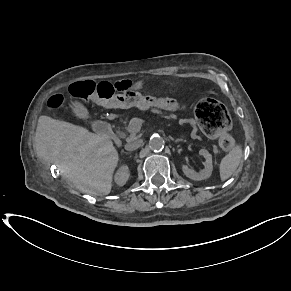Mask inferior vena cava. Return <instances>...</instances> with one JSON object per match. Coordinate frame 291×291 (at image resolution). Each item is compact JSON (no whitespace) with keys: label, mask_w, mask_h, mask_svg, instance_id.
Instances as JSON below:
<instances>
[{"label":"inferior vena cava","mask_w":291,"mask_h":291,"mask_svg":"<svg viewBox=\"0 0 291 291\" xmlns=\"http://www.w3.org/2000/svg\"><path fill=\"white\" fill-rule=\"evenodd\" d=\"M143 141L142 140H135V141H132L130 143H127L125 145V149L127 151H133V150H136L138 149L141 145H142Z\"/></svg>","instance_id":"1"}]
</instances>
